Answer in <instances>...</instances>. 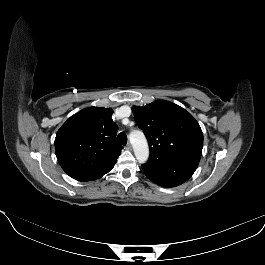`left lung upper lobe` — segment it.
Returning a JSON list of instances; mask_svg holds the SVG:
<instances>
[{"mask_svg":"<svg viewBox=\"0 0 265 265\" xmlns=\"http://www.w3.org/2000/svg\"><path fill=\"white\" fill-rule=\"evenodd\" d=\"M132 111L149 142L150 157L146 164L201 156L202 130L184 108L158 100L143 107H133Z\"/></svg>","mask_w":265,"mask_h":265,"instance_id":"5c2ea615","label":"left lung upper lobe"}]
</instances>
